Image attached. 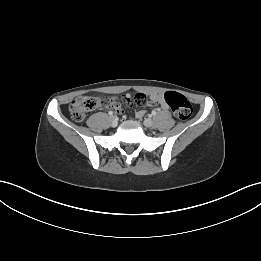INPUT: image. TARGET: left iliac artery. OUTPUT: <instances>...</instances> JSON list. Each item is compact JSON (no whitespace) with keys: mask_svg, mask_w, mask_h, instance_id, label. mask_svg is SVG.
<instances>
[{"mask_svg":"<svg viewBox=\"0 0 261 261\" xmlns=\"http://www.w3.org/2000/svg\"><path fill=\"white\" fill-rule=\"evenodd\" d=\"M153 116H155L157 114V112L155 110L152 111L151 113Z\"/></svg>","mask_w":261,"mask_h":261,"instance_id":"1","label":"left iliac artery"}]
</instances>
